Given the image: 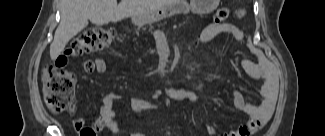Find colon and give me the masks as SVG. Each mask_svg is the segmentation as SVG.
<instances>
[{
	"label": "colon",
	"instance_id": "5ec220e1",
	"mask_svg": "<svg viewBox=\"0 0 325 136\" xmlns=\"http://www.w3.org/2000/svg\"><path fill=\"white\" fill-rule=\"evenodd\" d=\"M228 16V8H219L215 12L211 24H222ZM114 39L115 32L113 29L97 27L87 30L76 37L72 42L71 49L77 56L88 55L108 48ZM42 81L44 98L48 109L55 114H60L69 109L73 85L66 83L55 66L48 65L44 67ZM80 136H97V134L92 128L85 127L80 131Z\"/></svg>",
	"mask_w": 325,
	"mask_h": 136
}]
</instances>
